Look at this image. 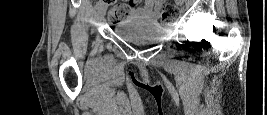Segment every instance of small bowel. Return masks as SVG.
<instances>
[{
    "label": "small bowel",
    "mask_w": 267,
    "mask_h": 115,
    "mask_svg": "<svg viewBox=\"0 0 267 115\" xmlns=\"http://www.w3.org/2000/svg\"><path fill=\"white\" fill-rule=\"evenodd\" d=\"M163 3L164 0H146L143 4L133 7L130 16L134 19H156ZM137 4V1L133 2V5Z\"/></svg>",
    "instance_id": "obj_1"
}]
</instances>
